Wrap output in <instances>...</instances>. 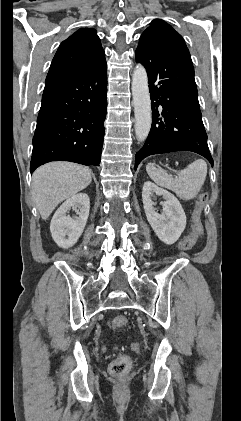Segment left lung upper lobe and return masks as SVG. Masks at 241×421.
<instances>
[{"label":"left lung upper lobe","instance_id":"obj_1","mask_svg":"<svg viewBox=\"0 0 241 421\" xmlns=\"http://www.w3.org/2000/svg\"><path fill=\"white\" fill-rule=\"evenodd\" d=\"M142 35L173 41L186 46L182 36L178 32H176L169 24H167L161 19L153 20L150 26L144 31Z\"/></svg>","mask_w":241,"mask_h":421}]
</instances>
